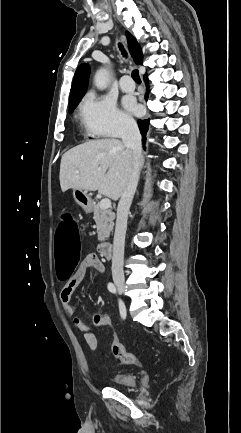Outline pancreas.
<instances>
[{
    "label": "pancreas",
    "mask_w": 241,
    "mask_h": 433,
    "mask_svg": "<svg viewBox=\"0 0 241 433\" xmlns=\"http://www.w3.org/2000/svg\"><path fill=\"white\" fill-rule=\"evenodd\" d=\"M92 211L97 225L98 240L104 241L113 230L115 214L111 209H102L99 203L93 204Z\"/></svg>",
    "instance_id": "1"
}]
</instances>
